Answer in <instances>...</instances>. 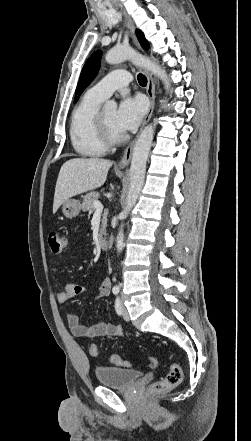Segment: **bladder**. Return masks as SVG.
<instances>
[{
	"label": "bladder",
	"instance_id": "bladder-1",
	"mask_svg": "<svg viewBox=\"0 0 251 441\" xmlns=\"http://www.w3.org/2000/svg\"><path fill=\"white\" fill-rule=\"evenodd\" d=\"M143 373L134 369L118 367H97L95 376L97 382L105 387L127 389L131 387Z\"/></svg>",
	"mask_w": 251,
	"mask_h": 441
}]
</instances>
